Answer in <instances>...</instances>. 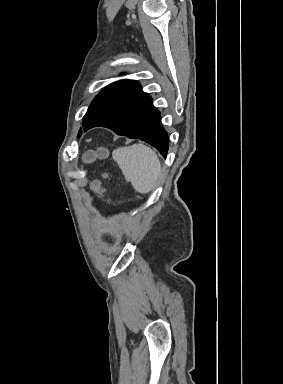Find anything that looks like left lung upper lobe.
I'll list each match as a JSON object with an SVG mask.
<instances>
[{
	"instance_id": "obj_1",
	"label": "left lung upper lobe",
	"mask_w": 283,
	"mask_h": 384,
	"mask_svg": "<svg viewBox=\"0 0 283 384\" xmlns=\"http://www.w3.org/2000/svg\"><path fill=\"white\" fill-rule=\"evenodd\" d=\"M139 86L138 82L130 80H121L105 87L93 100L83 119V127L104 114L119 101H121L129 92ZM81 134V130L79 135Z\"/></svg>"
}]
</instances>
